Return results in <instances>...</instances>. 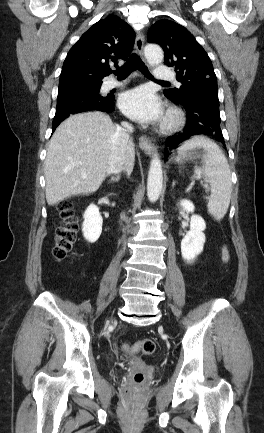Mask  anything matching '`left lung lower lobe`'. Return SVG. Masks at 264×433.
<instances>
[{"label": "left lung lower lobe", "instance_id": "1", "mask_svg": "<svg viewBox=\"0 0 264 433\" xmlns=\"http://www.w3.org/2000/svg\"><path fill=\"white\" fill-rule=\"evenodd\" d=\"M170 99V98H169ZM181 105L187 113V127L180 134L170 136L166 140V149L172 150L180 143L194 135H206L221 142L225 146L220 128L219 100L204 94H195L185 97L183 100H173ZM169 155L168 151L165 156Z\"/></svg>", "mask_w": 264, "mask_h": 433}]
</instances>
